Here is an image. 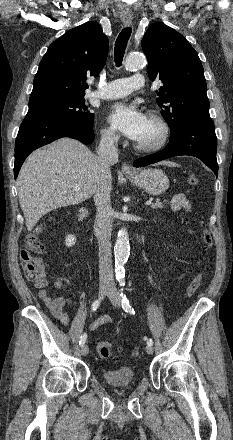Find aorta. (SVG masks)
<instances>
[{
  "label": "aorta",
  "instance_id": "1",
  "mask_svg": "<svg viewBox=\"0 0 233 440\" xmlns=\"http://www.w3.org/2000/svg\"><path fill=\"white\" fill-rule=\"evenodd\" d=\"M145 59L140 54L129 55L124 63L127 70L132 71L143 67ZM115 254V274L117 279H122L125 275L124 265L130 255V244L128 232L122 228L117 235V240L114 248Z\"/></svg>",
  "mask_w": 233,
  "mask_h": 440
}]
</instances>
